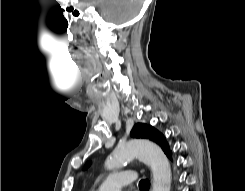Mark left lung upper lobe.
<instances>
[{"instance_id": "5c2ea615", "label": "left lung upper lobe", "mask_w": 245, "mask_h": 191, "mask_svg": "<svg viewBox=\"0 0 245 191\" xmlns=\"http://www.w3.org/2000/svg\"><path fill=\"white\" fill-rule=\"evenodd\" d=\"M131 136L135 138H144L154 141L163 149L166 155H168L170 152V148L165 137L150 125L141 123L136 124L131 131ZM89 164L90 162L86 164V167H88Z\"/></svg>"}]
</instances>
